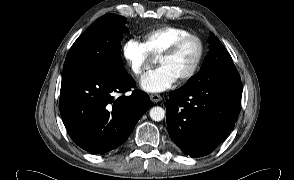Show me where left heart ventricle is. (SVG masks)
<instances>
[{
    "label": "left heart ventricle",
    "instance_id": "b2bd125f",
    "mask_svg": "<svg viewBox=\"0 0 294 180\" xmlns=\"http://www.w3.org/2000/svg\"><path fill=\"white\" fill-rule=\"evenodd\" d=\"M197 53L196 42L190 40L182 45L174 55L159 59L158 64L167 68L178 80L191 69Z\"/></svg>",
    "mask_w": 294,
    "mask_h": 180
}]
</instances>
